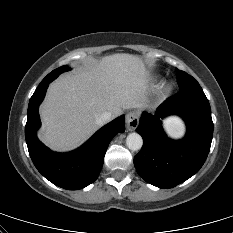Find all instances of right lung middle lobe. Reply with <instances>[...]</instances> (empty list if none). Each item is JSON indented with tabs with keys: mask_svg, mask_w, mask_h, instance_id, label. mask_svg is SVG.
Here are the masks:
<instances>
[{
	"mask_svg": "<svg viewBox=\"0 0 233 233\" xmlns=\"http://www.w3.org/2000/svg\"><path fill=\"white\" fill-rule=\"evenodd\" d=\"M70 70V68L66 65L59 67L55 70H53L51 73H49L43 80L42 82L39 84V86H42L43 84H45L46 82H51L53 81L55 78L58 77L59 74Z\"/></svg>",
	"mask_w": 233,
	"mask_h": 233,
	"instance_id": "1",
	"label": "right lung middle lobe"
}]
</instances>
